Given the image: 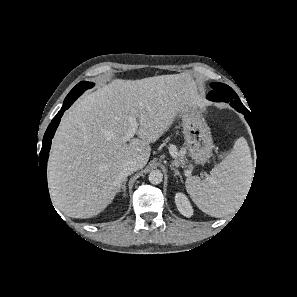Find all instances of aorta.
Returning a JSON list of instances; mask_svg holds the SVG:
<instances>
[{
    "mask_svg": "<svg viewBox=\"0 0 297 297\" xmlns=\"http://www.w3.org/2000/svg\"><path fill=\"white\" fill-rule=\"evenodd\" d=\"M163 180V174L160 170H153L149 173V181L151 184H160Z\"/></svg>",
    "mask_w": 297,
    "mask_h": 297,
    "instance_id": "762f6f07",
    "label": "aorta"
}]
</instances>
